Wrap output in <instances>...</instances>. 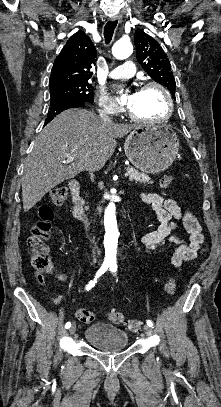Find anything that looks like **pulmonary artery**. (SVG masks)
Wrapping results in <instances>:
<instances>
[{"label": "pulmonary artery", "instance_id": "e3ab8cb5", "mask_svg": "<svg viewBox=\"0 0 221 407\" xmlns=\"http://www.w3.org/2000/svg\"><path fill=\"white\" fill-rule=\"evenodd\" d=\"M135 72V64L129 60L126 59L122 65L114 68L109 72V77L111 78H129L131 77Z\"/></svg>", "mask_w": 221, "mask_h": 407}]
</instances>
